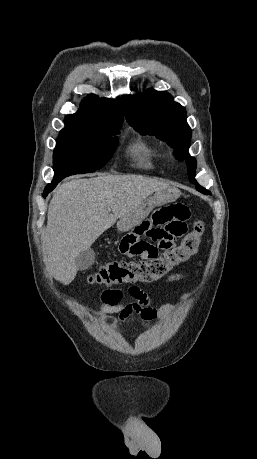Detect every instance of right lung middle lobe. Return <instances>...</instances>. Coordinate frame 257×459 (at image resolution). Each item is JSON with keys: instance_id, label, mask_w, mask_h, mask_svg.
I'll use <instances>...</instances> for the list:
<instances>
[{"instance_id": "dd1d6c3e", "label": "right lung middle lobe", "mask_w": 257, "mask_h": 459, "mask_svg": "<svg viewBox=\"0 0 257 459\" xmlns=\"http://www.w3.org/2000/svg\"><path fill=\"white\" fill-rule=\"evenodd\" d=\"M53 154L54 178L102 168L118 145L120 129L99 130L65 122Z\"/></svg>"}]
</instances>
